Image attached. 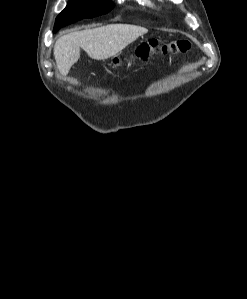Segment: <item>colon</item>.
Here are the masks:
<instances>
[{
  "instance_id": "5ec220e1",
  "label": "colon",
  "mask_w": 247,
  "mask_h": 299,
  "mask_svg": "<svg viewBox=\"0 0 247 299\" xmlns=\"http://www.w3.org/2000/svg\"><path fill=\"white\" fill-rule=\"evenodd\" d=\"M191 44L188 40L180 39L171 42H161L152 39L139 45L135 51L122 58H115L113 63L119 66L123 63L130 62L133 59H138L142 62H147L153 56H167L178 52H186L190 49Z\"/></svg>"
}]
</instances>
